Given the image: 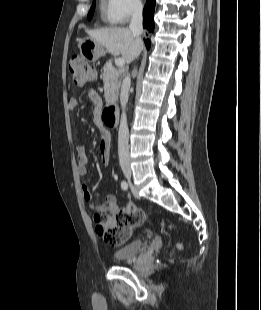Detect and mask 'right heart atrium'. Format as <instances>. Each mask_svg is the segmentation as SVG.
<instances>
[{
    "instance_id": "obj_1",
    "label": "right heart atrium",
    "mask_w": 261,
    "mask_h": 310,
    "mask_svg": "<svg viewBox=\"0 0 261 310\" xmlns=\"http://www.w3.org/2000/svg\"><path fill=\"white\" fill-rule=\"evenodd\" d=\"M112 10L115 21L125 24L133 17L141 14L142 0H112Z\"/></svg>"
}]
</instances>
